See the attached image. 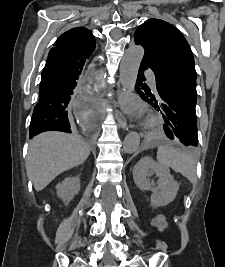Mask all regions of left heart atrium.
<instances>
[{"label": "left heart atrium", "instance_id": "obj_1", "mask_svg": "<svg viewBox=\"0 0 225 267\" xmlns=\"http://www.w3.org/2000/svg\"><path fill=\"white\" fill-rule=\"evenodd\" d=\"M122 102L127 107V109H129L130 111L134 113L139 112V108L134 104V102L130 98L123 97Z\"/></svg>", "mask_w": 225, "mask_h": 267}]
</instances>
